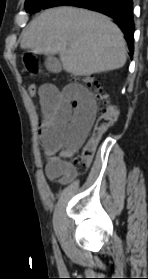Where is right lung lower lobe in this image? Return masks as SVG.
<instances>
[{
    "label": "right lung lower lobe",
    "mask_w": 148,
    "mask_h": 279,
    "mask_svg": "<svg viewBox=\"0 0 148 279\" xmlns=\"http://www.w3.org/2000/svg\"><path fill=\"white\" fill-rule=\"evenodd\" d=\"M61 5L87 8L113 18L125 34L132 56L134 33L132 0H49L43 9Z\"/></svg>",
    "instance_id": "98d812e1"
}]
</instances>
